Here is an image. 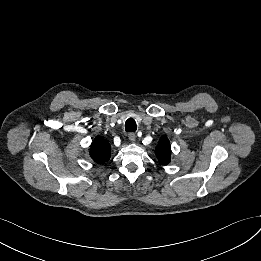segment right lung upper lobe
<instances>
[{
  "label": "right lung upper lobe",
  "instance_id": "cb5924a9",
  "mask_svg": "<svg viewBox=\"0 0 261 261\" xmlns=\"http://www.w3.org/2000/svg\"><path fill=\"white\" fill-rule=\"evenodd\" d=\"M90 155L97 163H105L110 158V144L100 136H97L90 148Z\"/></svg>",
  "mask_w": 261,
  "mask_h": 261
}]
</instances>
